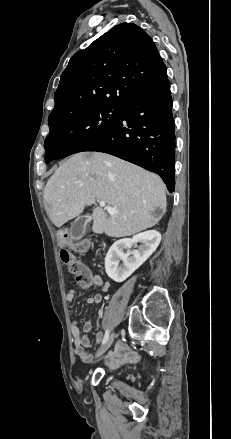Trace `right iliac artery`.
Listing matches in <instances>:
<instances>
[{
  "label": "right iliac artery",
  "mask_w": 231,
  "mask_h": 439,
  "mask_svg": "<svg viewBox=\"0 0 231 439\" xmlns=\"http://www.w3.org/2000/svg\"><path fill=\"white\" fill-rule=\"evenodd\" d=\"M108 337H109V330L106 329L102 344H104L107 341Z\"/></svg>",
  "instance_id": "82829eb1"
}]
</instances>
